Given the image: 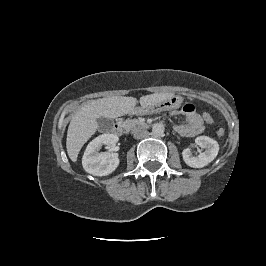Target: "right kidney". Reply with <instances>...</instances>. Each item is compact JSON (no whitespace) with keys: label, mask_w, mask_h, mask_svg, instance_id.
Masks as SVG:
<instances>
[{"label":"right kidney","mask_w":266,"mask_h":266,"mask_svg":"<svg viewBox=\"0 0 266 266\" xmlns=\"http://www.w3.org/2000/svg\"><path fill=\"white\" fill-rule=\"evenodd\" d=\"M118 142V136L114 134H102L93 139L87 146L82 165L86 172L94 176H106L115 171L119 165L117 153L101 152L99 150L103 145L112 148Z\"/></svg>","instance_id":"ca27d5eb"}]
</instances>
